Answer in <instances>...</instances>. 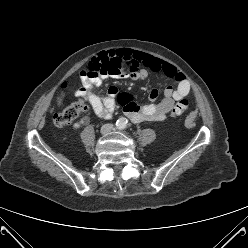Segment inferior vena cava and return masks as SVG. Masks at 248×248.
<instances>
[{
	"label": "inferior vena cava",
	"instance_id": "inferior-vena-cava-1",
	"mask_svg": "<svg viewBox=\"0 0 248 248\" xmlns=\"http://www.w3.org/2000/svg\"><path fill=\"white\" fill-rule=\"evenodd\" d=\"M113 129V124L111 123H107V124H104L102 127H101V132L103 134H108L111 132V130Z\"/></svg>",
	"mask_w": 248,
	"mask_h": 248
}]
</instances>
